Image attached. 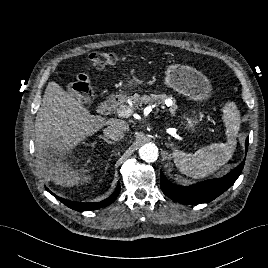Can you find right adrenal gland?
Here are the masks:
<instances>
[{
    "instance_id": "1",
    "label": "right adrenal gland",
    "mask_w": 268,
    "mask_h": 268,
    "mask_svg": "<svg viewBox=\"0 0 268 268\" xmlns=\"http://www.w3.org/2000/svg\"><path fill=\"white\" fill-rule=\"evenodd\" d=\"M100 138L103 139L108 144H115V142L107 140L104 136H100Z\"/></svg>"
}]
</instances>
